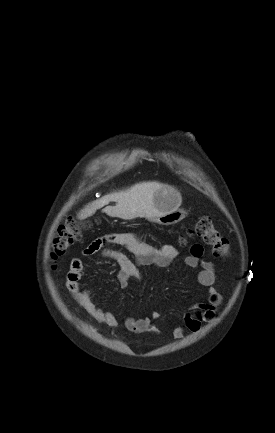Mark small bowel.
Returning a JSON list of instances; mask_svg holds the SVG:
<instances>
[{"label":"small bowel","mask_w":275,"mask_h":433,"mask_svg":"<svg viewBox=\"0 0 275 433\" xmlns=\"http://www.w3.org/2000/svg\"><path fill=\"white\" fill-rule=\"evenodd\" d=\"M106 243L123 247L132 252L136 256L135 261L117 250L105 247ZM84 253L86 255L100 254L104 258L116 262L120 266L118 282L123 288L129 285L131 279L139 280L142 278L140 266L165 267L178 255V251L173 245L153 246L129 232L112 233L96 239L85 248ZM202 255L203 247L200 244H194L191 247L190 255L185 258L186 266L200 268L197 281L201 286L207 288L206 300L194 305L192 311L184 316V325L191 332L199 331L202 323L212 321L222 302L221 294L214 287L215 267L213 263L202 259ZM83 268V261L80 258L72 259L66 281L68 290L74 299L97 321L109 328H117L119 326L117 317L112 312L100 307L91 293L81 287ZM161 316L160 312L153 311L150 317L126 318L124 326L133 333H155L157 329L152 320L160 319ZM172 335L175 339H181L184 336V330L176 326L172 329Z\"/></svg>","instance_id":"obj_1"}]
</instances>
